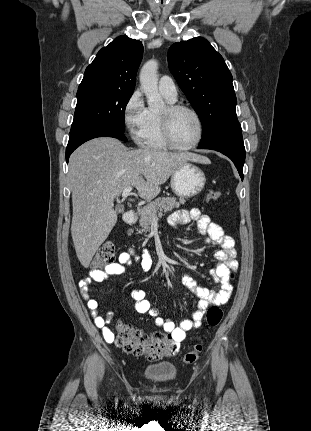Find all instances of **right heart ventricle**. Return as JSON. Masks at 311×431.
Masks as SVG:
<instances>
[{"label":"right heart ventricle","instance_id":"obj_1","mask_svg":"<svg viewBox=\"0 0 311 431\" xmlns=\"http://www.w3.org/2000/svg\"><path fill=\"white\" fill-rule=\"evenodd\" d=\"M165 98L168 103H175L176 101V98L172 99L168 96H165ZM160 113L153 109L148 110L146 122L141 133L142 142L151 149H164L167 147L161 137Z\"/></svg>","mask_w":311,"mask_h":431}]
</instances>
